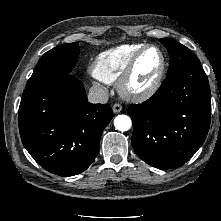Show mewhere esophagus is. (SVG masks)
I'll return each instance as SVG.
<instances>
[{
	"label": "esophagus",
	"instance_id": "obj_1",
	"mask_svg": "<svg viewBox=\"0 0 221 221\" xmlns=\"http://www.w3.org/2000/svg\"><path fill=\"white\" fill-rule=\"evenodd\" d=\"M114 113H119L122 111V106L118 103H115L112 107Z\"/></svg>",
	"mask_w": 221,
	"mask_h": 221
}]
</instances>
